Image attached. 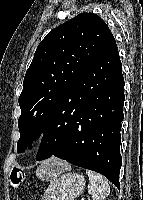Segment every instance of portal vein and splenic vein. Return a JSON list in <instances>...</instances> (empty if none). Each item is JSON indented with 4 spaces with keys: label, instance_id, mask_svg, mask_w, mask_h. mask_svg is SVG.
<instances>
[{
    "label": "portal vein and splenic vein",
    "instance_id": "obj_1",
    "mask_svg": "<svg viewBox=\"0 0 143 200\" xmlns=\"http://www.w3.org/2000/svg\"><path fill=\"white\" fill-rule=\"evenodd\" d=\"M82 200H85V199H82ZM87 200H90V198L88 197Z\"/></svg>",
    "mask_w": 143,
    "mask_h": 200
}]
</instances>
